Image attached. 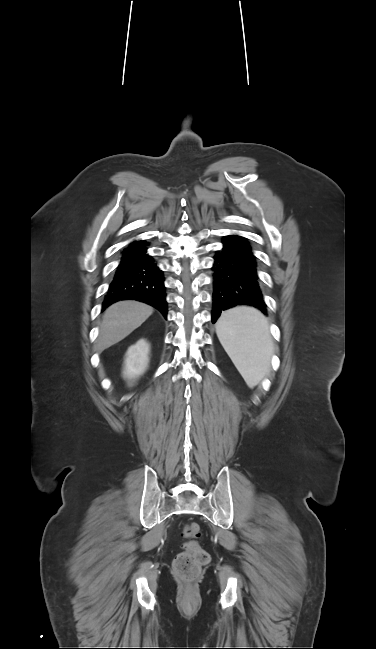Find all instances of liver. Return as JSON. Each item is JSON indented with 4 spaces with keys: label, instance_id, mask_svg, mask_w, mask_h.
Instances as JSON below:
<instances>
[{
    "label": "liver",
    "instance_id": "liver-1",
    "mask_svg": "<svg viewBox=\"0 0 376 649\" xmlns=\"http://www.w3.org/2000/svg\"><path fill=\"white\" fill-rule=\"evenodd\" d=\"M153 313V308L137 301H119L106 309L97 339V350L103 351L120 342Z\"/></svg>",
    "mask_w": 376,
    "mask_h": 649
}]
</instances>
